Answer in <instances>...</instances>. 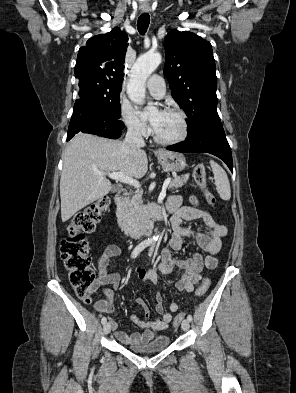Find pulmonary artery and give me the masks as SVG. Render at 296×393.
I'll return each mask as SVG.
<instances>
[{
    "mask_svg": "<svg viewBox=\"0 0 296 393\" xmlns=\"http://www.w3.org/2000/svg\"><path fill=\"white\" fill-rule=\"evenodd\" d=\"M147 88L156 98H162L166 92L164 79L158 74H154L148 79Z\"/></svg>",
    "mask_w": 296,
    "mask_h": 393,
    "instance_id": "pulmonary-artery-1",
    "label": "pulmonary artery"
}]
</instances>
